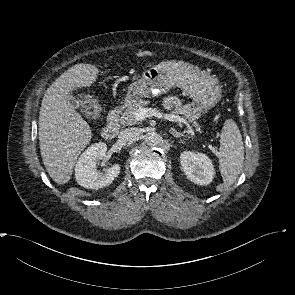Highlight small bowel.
I'll list each match as a JSON object with an SVG mask.
<instances>
[{
    "label": "small bowel",
    "mask_w": 295,
    "mask_h": 295,
    "mask_svg": "<svg viewBox=\"0 0 295 295\" xmlns=\"http://www.w3.org/2000/svg\"><path fill=\"white\" fill-rule=\"evenodd\" d=\"M180 100L176 96H168L164 99V107L168 110H171L180 105Z\"/></svg>",
    "instance_id": "1"
}]
</instances>
